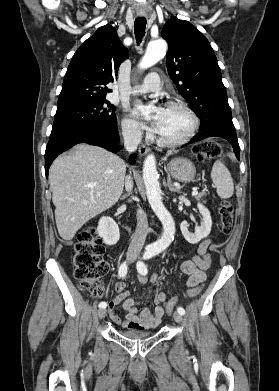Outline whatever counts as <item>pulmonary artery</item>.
I'll use <instances>...</instances> for the list:
<instances>
[{
	"mask_svg": "<svg viewBox=\"0 0 279 391\" xmlns=\"http://www.w3.org/2000/svg\"><path fill=\"white\" fill-rule=\"evenodd\" d=\"M161 89L160 76L158 73L148 74L141 85L134 89V93L157 92Z\"/></svg>",
	"mask_w": 279,
	"mask_h": 391,
	"instance_id": "pulmonary-artery-1",
	"label": "pulmonary artery"
}]
</instances>
